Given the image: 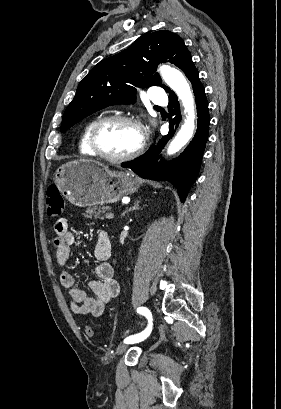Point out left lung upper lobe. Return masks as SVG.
<instances>
[{
	"label": "left lung upper lobe",
	"mask_w": 281,
	"mask_h": 409,
	"mask_svg": "<svg viewBox=\"0 0 281 409\" xmlns=\"http://www.w3.org/2000/svg\"><path fill=\"white\" fill-rule=\"evenodd\" d=\"M167 61L188 79L196 69L182 38L168 30L145 35L126 50L100 61L79 83L63 115L61 132L110 105L134 103L138 86L161 85L169 95L174 94L156 73L157 64Z\"/></svg>",
	"instance_id": "left-lung-upper-lobe-1"
}]
</instances>
